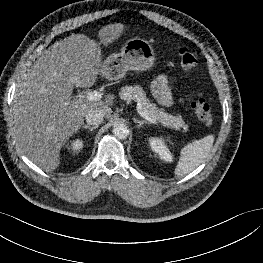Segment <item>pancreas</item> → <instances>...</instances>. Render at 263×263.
<instances>
[{
    "instance_id": "1",
    "label": "pancreas",
    "mask_w": 263,
    "mask_h": 263,
    "mask_svg": "<svg viewBox=\"0 0 263 263\" xmlns=\"http://www.w3.org/2000/svg\"><path fill=\"white\" fill-rule=\"evenodd\" d=\"M119 95L124 101H136L140 105L143 112H146L153 119L160 122L162 126L175 130L182 129L183 132L188 131V126L185 124L180 115H171L158 108L154 103H151L140 86H125L121 88Z\"/></svg>"
}]
</instances>
